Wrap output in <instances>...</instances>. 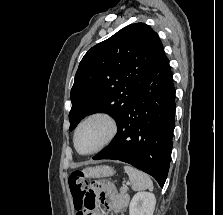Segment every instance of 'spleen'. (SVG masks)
Wrapping results in <instances>:
<instances>
[{
  "label": "spleen",
  "instance_id": "1",
  "mask_svg": "<svg viewBox=\"0 0 223 215\" xmlns=\"http://www.w3.org/2000/svg\"><path fill=\"white\" fill-rule=\"evenodd\" d=\"M125 173H128L129 179L132 183V189L134 191H140V189H153V181H151L147 173L131 167V165H124Z\"/></svg>",
  "mask_w": 223,
  "mask_h": 215
}]
</instances>
